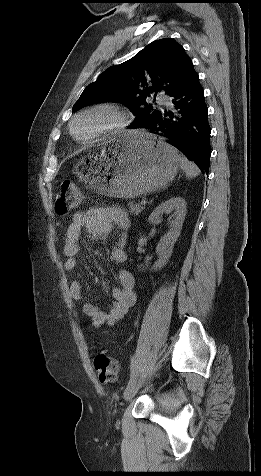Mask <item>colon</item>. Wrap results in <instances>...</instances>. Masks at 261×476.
<instances>
[{"label": "colon", "instance_id": "colon-1", "mask_svg": "<svg viewBox=\"0 0 261 476\" xmlns=\"http://www.w3.org/2000/svg\"><path fill=\"white\" fill-rule=\"evenodd\" d=\"M81 192L71 180L63 181L58 188L55 201V210L58 214H66L78 207L81 203ZM94 367L98 379L102 383L115 382L118 377L116 360L107 352L100 351L94 358Z\"/></svg>", "mask_w": 261, "mask_h": 476}]
</instances>
